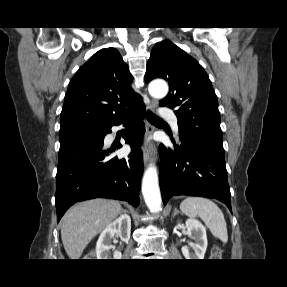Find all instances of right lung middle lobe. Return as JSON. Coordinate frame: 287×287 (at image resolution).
I'll list each match as a JSON object with an SVG mask.
<instances>
[{"instance_id": "1", "label": "right lung middle lobe", "mask_w": 287, "mask_h": 287, "mask_svg": "<svg viewBox=\"0 0 287 287\" xmlns=\"http://www.w3.org/2000/svg\"><path fill=\"white\" fill-rule=\"evenodd\" d=\"M99 131V126L89 123H73L65 126H61L59 131V141L84 138V137H96Z\"/></svg>"}]
</instances>
